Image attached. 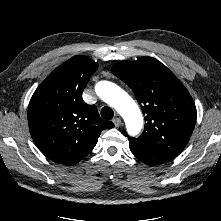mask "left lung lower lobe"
I'll return each mask as SVG.
<instances>
[{
  "instance_id": "obj_1",
  "label": "left lung lower lobe",
  "mask_w": 221,
  "mask_h": 221,
  "mask_svg": "<svg viewBox=\"0 0 221 221\" xmlns=\"http://www.w3.org/2000/svg\"><path fill=\"white\" fill-rule=\"evenodd\" d=\"M129 138V147L133 155L140 161L148 165H158L161 163L169 162L174 157L163 154L159 151L152 149L146 144L138 141L136 138Z\"/></svg>"
}]
</instances>
